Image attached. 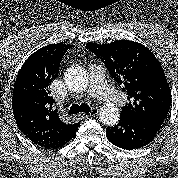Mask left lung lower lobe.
<instances>
[{
    "label": "left lung lower lobe",
    "mask_w": 178,
    "mask_h": 178,
    "mask_svg": "<svg viewBox=\"0 0 178 178\" xmlns=\"http://www.w3.org/2000/svg\"><path fill=\"white\" fill-rule=\"evenodd\" d=\"M163 122L150 118L120 116L115 127L106 128V136L114 145L127 149H138L150 143Z\"/></svg>",
    "instance_id": "1"
}]
</instances>
